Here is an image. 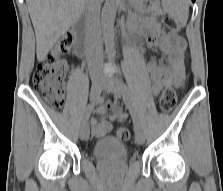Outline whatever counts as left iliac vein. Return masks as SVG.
I'll list each match as a JSON object with an SVG mask.
<instances>
[{
	"mask_svg": "<svg viewBox=\"0 0 223 191\" xmlns=\"http://www.w3.org/2000/svg\"><path fill=\"white\" fill-rule=\"evenodd\" d=\"M104 88L115 94V96L127 101L126 87L121 80L116 77L109 76L104 80ZM135 141L138 145H142L145 141L144 134L141 128L135 129Z\"/></svg>",
	"mask_w": 223,
	"mask_h": 191,
	"instance_id": "left-iliac-vein-1",
	"label": "left iliac vein"
}]
</instances>
